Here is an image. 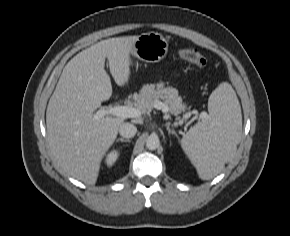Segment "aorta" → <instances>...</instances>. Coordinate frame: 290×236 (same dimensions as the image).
Returning <instances> with one entry per match:
<instances>
[{
  "mask_svg": "<svg viewBox=\"0 0 290 236\" xmlns=\"http://www.w3.org/2000/svg\"><path fill=\"white\" fill-rule=\"evenodd\" d=\"M160 145V140L156 135H150L146 140V147L149 150H156Z\"/></svg>",
  "mask_w": 290,
  "mask_h": 236,
  "instance_id": "obj_1",
  "label": "aorta"
}]
</instances>
